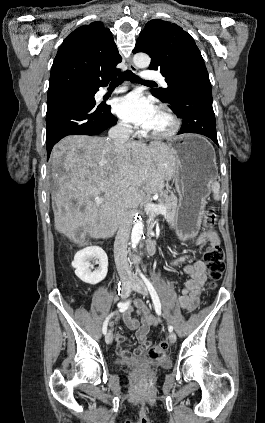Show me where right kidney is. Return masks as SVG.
Listing matches in <instances>:
<instances>
[{
  "instance_id": "right-kidney-1",
  "label": "right kidney",
  "mask_w": 265,
  "mask_h": 423,
  "mask_svg": "<svg viewBox=\"0 0 265 423\" xmlns=\"http://www.w3.org/2000/svg\"><path fill=\"white\" fill-rule=\"evenodd\" d=\"M93 258L99 260V268L91 272L89 269L91 266L90 260ZM72 267L75 268V274L79 279L85 283L95 285L107 275L108 257L104 250L98 246L86 247L75 254Z\"/></svg>"
}]
</instances>
